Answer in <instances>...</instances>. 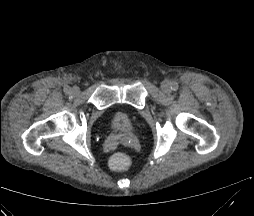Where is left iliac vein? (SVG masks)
Returning <instances> with one entry per match:
<instances>
[{"mask_svg":"<svg viewBox=\"0 0 254 216\" xmlns=\"http://www.w3.org/2000/svg\"><path fill=\"white\" fill-rule=\"evenodd\" d=\"M161 89L164 93L169 94L171 92L170 83L168 81H164L161 84Z\"/></svg>","mask_w":254,"mask_h":216,"instance_id":"obj_1","label":"left iliac vein"}]
</instances>
